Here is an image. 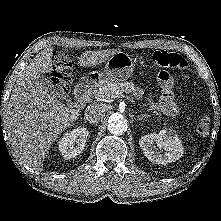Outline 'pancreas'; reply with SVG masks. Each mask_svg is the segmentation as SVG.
<instances>
[{"instance_id":"1","label":"pancreas","mask_w":221,"mask_h":221,"mask_svg":"<svg viewBox=\"0 0 221 221\" xmlns=\"http://www.w3.org/2000/svg\"><path fill=\"white\" fill-rule=\"evenodd\" d=\"M134 90V84L132 82H107L100 86V90H94L93 96L99 101H110L116 98L117 92L132 93ZM146 106V105H144Z\"/></svg>"}]
</instances>
